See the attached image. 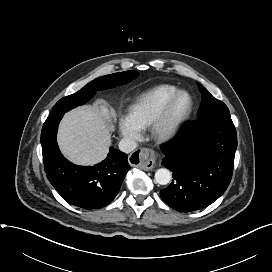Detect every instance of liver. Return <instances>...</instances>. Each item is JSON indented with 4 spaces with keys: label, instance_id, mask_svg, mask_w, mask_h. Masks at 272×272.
Returning a JSON list of instances; mask_svg holds the SVG:
<instances>
[{
    "label": "liver",
    "instance_id": "1",
    "mask_svg": "<svg viewBox=\"0 0 272 272\" xmlns=\"http://www.w3.org/2000/svg\"><path fill=\"white\" fill-rule=\"evenodd\" d=\"M114 117V111L104 102L66 113L58 132L62 153L79 165H93L102 161L111 144Z\"/></svg>",
    "mask_w": 272,
    "mask_h": 272
}]
</instances>
